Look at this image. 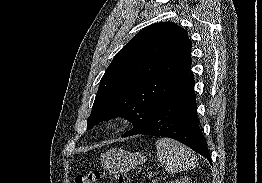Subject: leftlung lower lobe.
<instances>
[{
    "mask_svg": "<svg viewBox=\"0 0 262 183\" xmlns=\"http://www.w3.org/2000/svg\"><path fill=\"white\" fill-rule=\"evenodd\" d=\"M194 84V77L189 72L176 90L157 108L148 125L136 134L173 138L212 163L199 126Z\"/></svg>",
    "mask_w": 262,
    "mask_h": 183,
    "instance_id": "left-lung-lower-lobe-1",
    "label": "left lung lower lobe"
}]
</instances>
